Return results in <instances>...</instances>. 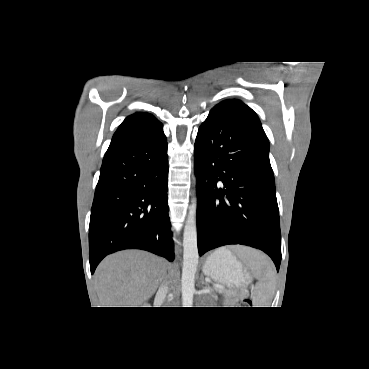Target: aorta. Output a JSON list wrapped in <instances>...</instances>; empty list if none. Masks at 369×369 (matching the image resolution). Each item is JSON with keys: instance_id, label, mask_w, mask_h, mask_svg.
<instances>
[{"instance_id": "1", "label": "aorta", "mask_w": 369, "mask_h": 369, "mask_svg": "<svg viewBox=\"0 0 369 369\" xmlns=\"http://www.w3.org/2000/svg\"><path fill=\"white\" fill-rule=\"evenodd\" d=\"M196 210L197 200L194 198L189 207L183 232V267L181 278L183 307H192L193 296L195 293V273L199 259L197 247Z\"/></svg>"}]
</instances>
